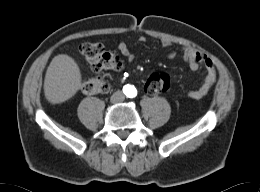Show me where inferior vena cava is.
Listing matches in <instances>:
<instances>
[{
    "label": "inferior vena cava",
    "instance_id": "1",
    "mask_svg": "<svg viewBox=\"0 0 260 192\" xmlns=\"http://www.w3.org/2000/svg\"><path fill=\"white\" fill-rule=\"evenodd\" d=\"M124 100V95L122 92L117 91L115 92L112 97H111V101L112 102H122Z\"/></svg>",
    "mask_w": 260,
    "mask_h": 192
}]
</instances>
